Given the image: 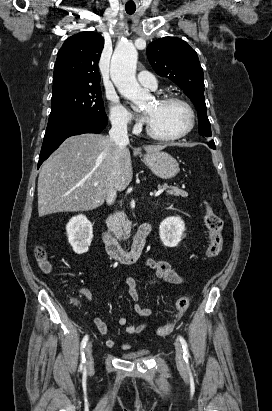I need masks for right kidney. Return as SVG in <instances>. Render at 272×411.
<instances>
[{"label":"right kidney","instance_id":"ca27d5eb","mask_svg":"<svg viewBox=\"0 0 272 411\" xmlns=\"http://www.w3.org/2000/svg\"><path fill=\"white\" fill-rule=\"evenodd\" d=\"M68 241L77 254L86 253L93 238V227L86 216L80 214L68 222L66 226Z\"/></svg>","mask_w":272,"mask_h":411}]
</instances>
